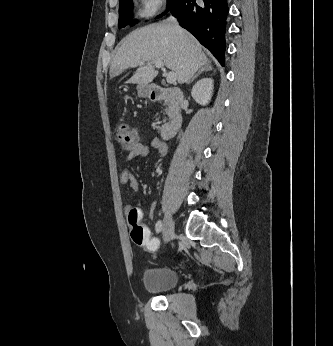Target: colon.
Returning a JSON list of instances; mask_svg holds the SVG:
<instances>
[{
	"label": "colon",
	"mask_w": 333,
	"mask_h": 346,
	"mask_svg": "<svg viewBox=\"0 0 333 346\" xmlns=\"http://www.w3.org/2000/svg\"><path fill=\"white\" fill-rule=\"evenodd\" d=\"M117 140L122 149L133 150L139 143L137 131L127 125L122 124L116 132ZM141 212L132 207L128 212V224L130 226V237L137 246L145 247L147 254H156L159 246L158 235H152V226H144L140 223Z\"/></svg>",
	"instance_id": "obj_1"
}]
</instances>
